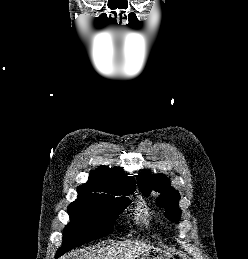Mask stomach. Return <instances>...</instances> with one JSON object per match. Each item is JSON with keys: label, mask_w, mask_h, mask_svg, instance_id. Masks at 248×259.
<instances>
[{"label": "stomach", "mask_w": 248, "mask_h": 259, "mask_svg": "<svg viewBox=\"0 0 248 259\" xmlns=\"http://www.w3.org/2000/svg\"><path fill=\"white\" fill-rule=\"evenodd\" d=\"M135 259H174V258L168 252L162 251L157 248H150L142 252Z\"/></svg>", "instance_id": "0dacf381"}]
</instances>
